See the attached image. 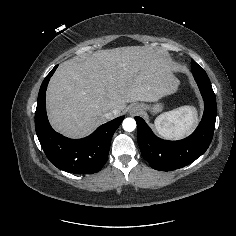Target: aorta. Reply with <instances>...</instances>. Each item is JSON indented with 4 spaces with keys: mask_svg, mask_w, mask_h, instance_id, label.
Instances as JSON below:
<instances>
[{
    "mask_svg": "<svg viewBox=\"0 0 236 236\" xmlns=\"http://www.w3.org/2000/svg\"><path fill=\"white\" fill-rule=\"evenodd\" d=\"M123 129L127 132H132L136 128V121L133 118H126L122 123Z\"/></svg>",
    "mask_w": 236,
    "mask_h": 236,
    "instance_id": "aorta-1",
    "label": "aorta"
}]
</instances>
